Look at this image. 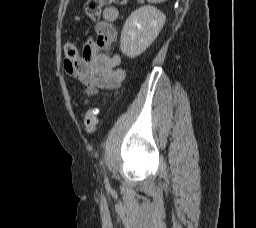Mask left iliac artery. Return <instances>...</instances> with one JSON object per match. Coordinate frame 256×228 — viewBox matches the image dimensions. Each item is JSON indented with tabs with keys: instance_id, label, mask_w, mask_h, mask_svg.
<instances>
[{
	"instance_id": "1",
	"label": "left iliac artery",
	"mask_w": 256,
	"mask_h": 228,
	"mask_svg": "<svg viewBox=\"0 0 256 228\" xmlns=\"http://www.w3.org/2000/svg\"><path fill=\"white\" fill-rule=\"evenodd\" d=\"M105 182H106V185H109V181H108V178L105 176Z\"/></svg>"
}]
</instances>
